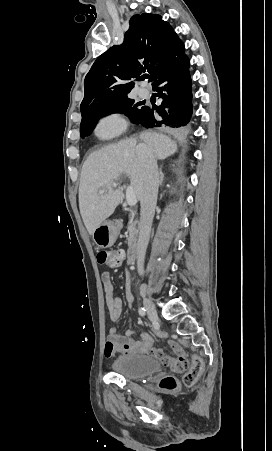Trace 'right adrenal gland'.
Returning a JSON list of instances; mask_svg holds the SVG:
<instances>
[{
  "mask_svg": "<svg viewBox=\"0 0 272 451\" xmlns=\"http://www.w3.org/2000/svg\"><path fill=\"white\" fill-rule=\"evenodd\" d=\"M163 178H164V174H162V172L160 170V186H162Z\"/></svg>",
  "mask_w": 272,
  "mask_h": 451,
  "instance_id": "2a0ac1e0",
  "label": "right adrenal gland"
}]
</instances>
